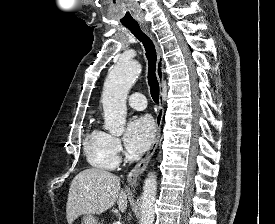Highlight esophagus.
I'll use <instances>...</instances> for the list:
<instances>
[{
    "label": "esophagus",
    "instance_id": "1",
    "mask_svg": "<svg viewBox=\"0 0 275 224\" xmlns=\"http://www.w3.org/2000/svg\"><path fill=\"white\" fill-rule=\"evenodd\" d=\"M143 28L149 34L148 29L145 26V23H143ZM149 35L151 36V34ZM154 43L157 50L156 74L160 84L159 111L156 116L157 133L151 145V148L146 154V156L135 165V167L129 172L127 176V181L131 186H135L137 184L140 175L145 171L151 157L153 156L160 139L161 124H162L163 113H164V60H163L162 51L159 45L155 40H154Z\"/></svg>",
    "mask_w": 275,
    "mask_h": 224
}]
</instances>
